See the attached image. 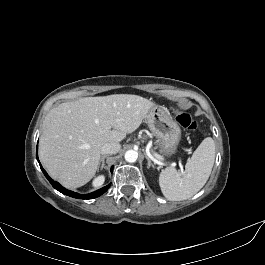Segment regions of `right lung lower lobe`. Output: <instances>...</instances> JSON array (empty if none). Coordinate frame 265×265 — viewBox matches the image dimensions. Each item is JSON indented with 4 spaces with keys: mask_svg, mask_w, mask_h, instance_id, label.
Instances as JSON below:
<instances>
[{
    "mask_svg": "<svg viewBox=\"0 0 265 265\" xmlns=\"http://www.w3.org/2000/svg\"><path fill=\"white\" fill-rule=\"evenodd\" d=\"M37 160H38V156H37ZM39 162V160H38ZM40 167L44 173V175L46 176V178L49 180V182L51 183V185L56 189L58 190L59 192H61L62 194H65L67 196H71L73 198H77V199H93V198H96V197H99L100 195H102L103 193H105L108 188L110 187V184L95 191V192H92L90 194H79V193H76V192H73V191H70V190H67L65 188H63L58 182L52 180L49 175L46 173V171L42 168L41 164H40ZM113 169V167L111 168V170Z\"/></svg>",
    "mask_w": 265,
    "mask_h": 265,
    "instance_id": "obj_1",
    "label": "right lung lower lobe"
}]
</instances>
